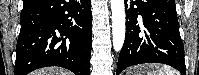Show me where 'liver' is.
<instances>
[{"mask_svg":"<svg viewBox=\"0 0 199 75\" xmlns=\"http://www.w3.org/2000/svg\"><path fill=\"white\" fill-rule=\"evenodd\" d=\"M31 75H72L71 72L61 68H43L32 72Z\"/></svg>","mask_w":199,"mask_h":75,"instance_id":"1","label":"liver"}]
</instances>
